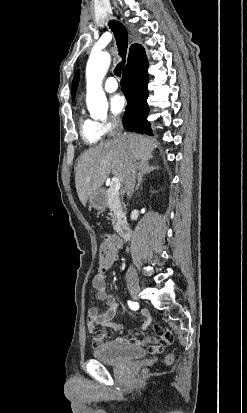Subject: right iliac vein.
Segmentation results:
<instances>
[{
	"label": "right iliac vein",
	"mask_w": 247,
	"mask_h": 413,
	"mask_svg": "<svg viewBox=\"0 0 247 413\" xmlns=\"http://www.w3.org/2000/svg\"><path fill=\"white\" fill-rule=\"evenodd\" d=\"M130 294L134 300H139L140 287L138 284H134L129 288Z\"/></svg>",
	"instance_id": "right-iliac-vein-1"
}]
</instances>
